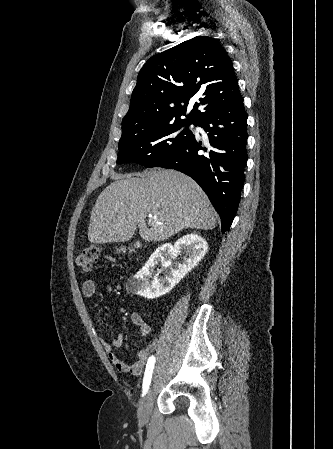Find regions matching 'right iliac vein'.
Listing matches in <instances>:
<instances>
[{"mask_svg":"<svg viewBox=\"0 0 333 449\" xmlns=\"http://www.w3.org/2000/svg\"><path fill=\"white\" fill-rule=\"evenodd\" d=\"M153 400L154 394L152 388H150L143 398L138 410V419L140 424H146L149 421L153 407Z\"/></svg>","mask_w":333,"mask_h":449,"instance_id":"1","label":"right iliac vein"}]
</instances>
